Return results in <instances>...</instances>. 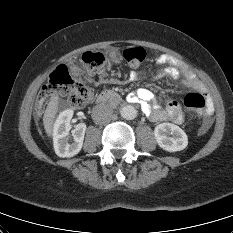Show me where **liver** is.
<instances>
[{
    "instance_id": "obj_1",
    "label": "liver",
    "mask_w": 233,
    "mask_h": 233,
    "mask_svg": "<svg viewBox=\"0 0 233 233\" xmlns=\"http://www.w3.org/2000/svg\"><path fill=\"white\" fill-rule=\"evenodd\" d=\"M59 97L53 96L48 103L43 116V125L47 136L51 137L53 135L54 120L58 112V102Z\"/></svg>"
}]
</instances>
